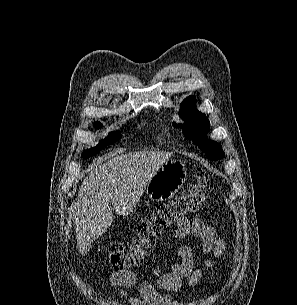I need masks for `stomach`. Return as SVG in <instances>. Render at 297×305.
<instances>
[{"mask_svg":"<svg viewBox=\"0 0 297 305\" xmlns=\"http://www.w3.org/2000/svg\"><path fill=\"white\" fill-rule=\"evenodd\" d=\"M187 179V168L180 160H167L146 186L149 198L156 202L170 200Z\"/></svg>","mask_w":297,"mask_h":305,"instance_id":"0dacf381","label":"stomach"}]
</instances>
